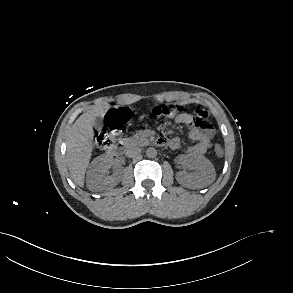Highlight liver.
Masks as SVG:
<instances>
[{"instance_id": "6515ba94", "label": "liver", "mask_w": 293, "mask_h": 293, "mask_svg": "<svg viewBox=\"0 0 293 293\" xmlns=\"http://www.w3.org/2000/svg\"><path fill=\"white\" fill-rule=\"evenodd\" d=\"M98 112L83 113L68 133L67 165L71 178L80 187L84 186L85 172L93 151V120Z\"/></svg>"}]
</instances>
